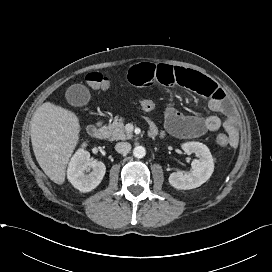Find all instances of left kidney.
Wrapping results in <instances>:
<instances>
[{
  "label": "left kidney",
  "instance_id": "1",
  "mask_svg": "<svg viewBox=\"0 0 272 272\" xmlns=\"http://www.w3.org/2000/svg\"><path fill=\"white\" fill-rule=\"evenodd\" d=\"M182 149L188 155L195 153L198 159L192 161L193 171L189 174H183L182 171L170 174L169 183L174 188L182 190L199 187L211 177L214 171V162L210 150L200 142L184 143Z\"/></svg>",
  "mask_w": 272,
  "mask_h": 272
}]
</instances>
